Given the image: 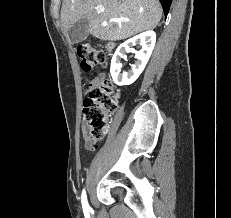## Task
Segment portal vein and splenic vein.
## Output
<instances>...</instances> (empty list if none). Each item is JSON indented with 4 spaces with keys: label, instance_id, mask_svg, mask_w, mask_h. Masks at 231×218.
Here are the masks:
<instances>
[{
    "label": "portal vein and splenic vein",
    "instance_id": "portal-vein-and-splenic-vein-1",
    "mask_svg": "<svg viewBox=\"0 0 231 218\" xmlns=\"http://www.w3.org/2000/svg\"><path fill=\"white\" fill-rule=\"evenodd\" d=\"M96 10H97V12L101 13L104 11V7L101 5H98V6H96ZM110 21L120 23V22H127L129 20L126 18H111Z\"/></svg>",
    "mask_w": 231,
    "mask_h": 218
}]
</instances>
